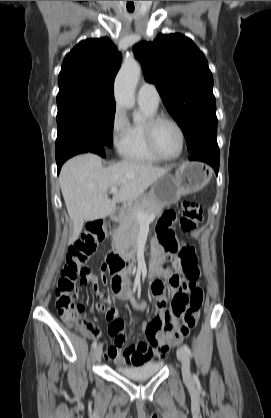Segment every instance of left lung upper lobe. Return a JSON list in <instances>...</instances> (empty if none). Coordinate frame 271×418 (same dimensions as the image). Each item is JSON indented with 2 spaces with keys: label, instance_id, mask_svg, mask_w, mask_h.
Returning <instances> with one entry per match:
<instances>
[{
  "label": "left lung upper lobe",
  "instance_id": "left-lung-upper-lobe-1",
  "mask_svg": "<svg viewBox=\"0 0 271 418\" xmlns=\"http://www.w3.org/2000/svg\"><path fill=\"white\" fill-rule=\"evenodd\" d=\"M133 51L145 79L156 85L162 101L181 127L191 153L217 143L213 76L204 54L182 34H159Z\"/></svg>",
  "mask_w": 271,
  "mask_h": 418
}]
</instances>
